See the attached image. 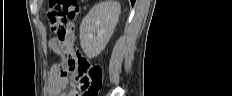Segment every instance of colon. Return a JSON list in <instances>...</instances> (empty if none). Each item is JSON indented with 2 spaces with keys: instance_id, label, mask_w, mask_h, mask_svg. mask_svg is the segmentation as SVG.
<instances>
[{
  "instance_id": "colon-1",
  "label": "colon",
  "mask_w": 232,
  "mask_h": 96,
  "mask_svg": "<svg viewBox=\"0 0 232 96\" xmlns=\"http://www.w3.org/2000/svg\"><path fill=\"white\" fill-rule=\"evenodd\" d=\"M48 18L50 29L60 44L59 53L64 56L66 66L75 74L77 96H96L102 84L103 69L83 58L68 40L69 22H74L80 13L76 0H50Z\"/></svg>"
}]
</instances>
